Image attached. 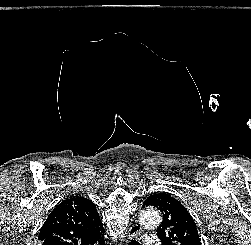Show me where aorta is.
Instances as JSON below:
<instances>
[{
    "label": "aorta",
    "instance_id": "aorta-1",
    "mask_svg": "<svg viewBox=\"0 0 251 245\" xmlns=\"http://www.w3.org/2000/svg\"><path fill=\"white\" fill-rule=\"evenodd\" d=\"M140 220L143 225L150 228L157 227L161 222L159 212L155 208H146L142 210L140 213Z\"/></svg>",
    "mask_w": 251,
    "mask_h": 245
}]
</instances>
